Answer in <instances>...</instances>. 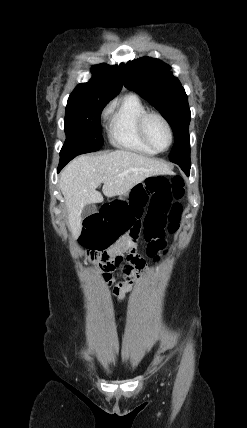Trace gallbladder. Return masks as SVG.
Masks as SVG:
<instances>
[{"label":"gallbladder","instance_id":"bac80fb5","mask_svg":"<svg viewBox=\"0 0 247 428\" xmlns=\"http://www.w3.org/2000/svg\"><path fill=\"white\" fill-rule=\"evenodd\" d=\"M96 210H97V208L94 204L86 205L82 210L81 218L84 219V218L96 213Z\"/></svg>","mask_w":247,"mask_h":428}]
</instances>
